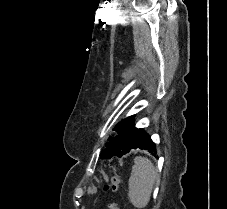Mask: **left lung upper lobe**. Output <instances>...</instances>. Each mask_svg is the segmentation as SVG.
Wrapping results in <instances>:
<instances>
[{
  "instance_id": "5c2ea615",
  "label": "left lung upper lobe",
  "mask_w": 227,
  "mask_h": 209,
  "mask_svg": "<svg viewBox=\"0 0 227 209\" xmlns=\"http://www.w3.org/2000/svg\"><path fill=\"white\" fill-rule=\"evenodd\" d=\"M114 131L118 133L115 138H109V143L102 153V157L110 159L113 156H123L131 147L138 129L134 126V116H129L118 123Z\"/></svg>"
}]
</instances>
